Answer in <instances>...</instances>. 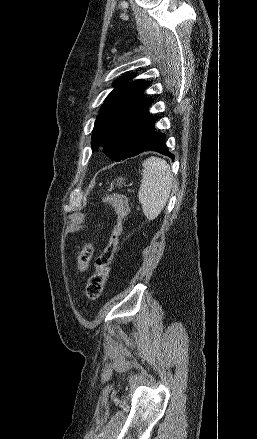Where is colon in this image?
<instances>
[{
	"mask_svg": "<svg viewBox=\"0 0 257 439\" xmlns=\"http://www.w3.org/2000/svg\"><path fill=\"white\" fill-rule=\"evenodd\" d=\"M103 203L114 208L115 223L111 230L108 243L100 255L95 259V271L88 279L85 293L90 300L99 298L102 294L105 283L107 281L110 265L113 261L119 237L122 231V224L128 214V201L125 196L112 194L103 197ZM94 247L91 242L85 243L78 254V270L84 272L87 270L92 259Z\"/></svg>",
	"mask_w": 257,
	"mask_h": 439,
	"instance_id": "colon-1",
	"label": "colon"
}]
</instances>
